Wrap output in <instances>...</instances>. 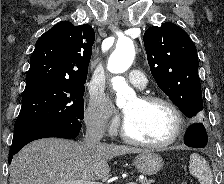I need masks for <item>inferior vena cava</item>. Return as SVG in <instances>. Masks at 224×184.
Wrapping results in <instances>:
<instances>
[{
    "mask_svg": "<svg viewBox=\"0 0 224 184\" xmlns=\"http://www.w3.org/2000/svg\"><path fill=\"white\" fill-rule=\"evenodd\" d=\"M105 130V122L103 120L97 119L87 124L86 134L83 144L87 148L96 147L101 144V139L103 137Z\"/></svg>",
    "mask_w": 224,
    "mask_h": 184,
    "instance_id": "obj_1",
    "label": "inferior vena cava"
}]
</instances>
